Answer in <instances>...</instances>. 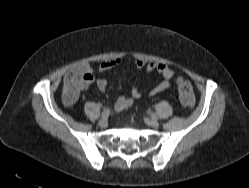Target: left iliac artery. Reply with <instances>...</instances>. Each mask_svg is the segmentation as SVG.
<instances>
[{"label":"left iliac artery","mask_w":249,"mask_h":188,"mask_svg":"<svg viewBox=\"0 0 249 188\" xmlns=\"http://www.w3.org/2000/svg\"><path fill=\"white\" fill-rule=\"evenodd\" d=\"M152 118H157V115L155 113L150 114Z\"/></svg>","instance_id":"44dca946"}]
</instances>
